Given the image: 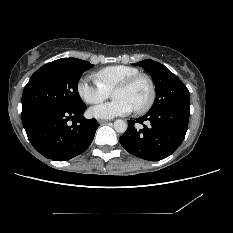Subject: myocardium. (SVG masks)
I'll use <instances>...</instances> for the list:
<instances>
[{"label":"myocardium","mask_w":233,"mask_h":233,"mask_svg":"<svg viewBox=\"0 0 233 233\" xmlns=\"http://www.w3.org/2000/svg\"><path fill=\"white\" fill-rule=\"evenodd\" d=\"M143 79L147 82L148 86H149V96L145 102V104L139 108L134 109V111L138 114H142L147 112L153 105L155 98H156V86H155V82L152 79L151 76H149L148 74L145 73H137L134 75L129 76L128 78L124 79L123 81H121L120 83H118L113 91L117 90V89H126L131 87L136 81Z\"/></svg>","instance_id":"f54148a6"}]
</instances>
